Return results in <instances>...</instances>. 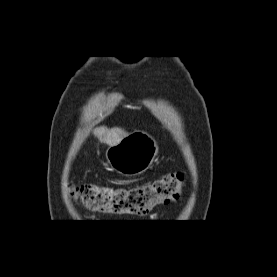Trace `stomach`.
<instances>
[{"label":"stomach","instance_id":"obj_1","mask_svg":"<svg viewBox=\"0 0 277 277\" xmlns=\"http://www.w3.org/2000/svg\"><path fill=\"white\" fill-rule=\"evenodd\" d=\"M158 150V144L150 134L136 131L117 145L110 146L106 151V159L113 171L125 176H136L150 168Z\"/></svg>","mask_w":277,"mask_h":277}]
</instances>
